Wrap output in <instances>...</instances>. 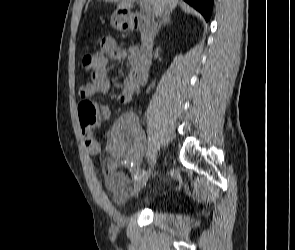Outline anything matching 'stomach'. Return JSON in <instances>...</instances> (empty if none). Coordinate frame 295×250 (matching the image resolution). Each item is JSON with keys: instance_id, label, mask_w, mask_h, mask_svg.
Wrapping results in <instances>:
<instances>
[{"instance_id": "obj_1", "label": "stomach", "mask_w": 295, "mask_h": 250, "mask_svg": "<svg viewBox=\"0 0 295 250\" xmlns=\"http://www.w3.org/2000/svg\"><path fill=\"white\" fill-rule=\"evenodd\" d=\"M111 24L118 30H123L127 27L125 17L118 13H114L111 17Z\"/></svg>"}]
</instances>
